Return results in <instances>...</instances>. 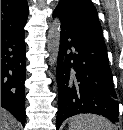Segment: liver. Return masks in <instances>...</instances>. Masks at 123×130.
Instances as JSON below:
<instances>
[{"label": "liver", "instance_id": "obj_1", "mask_svg": "<svg viewBox=\"0 0 123 130\" xmlns=\"http://www.w3.org/2000/svg\"><path fill=\"white\" fill-rule=\"evenodd\" d=\"M19 123L4 108H1V130H18Z\"/></svg>", "mask_w": 123, "mask_h": 130}]
</instances>
